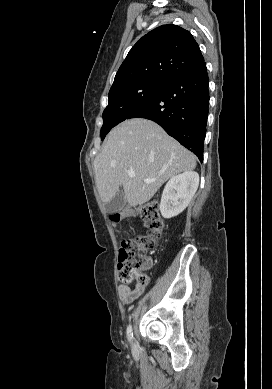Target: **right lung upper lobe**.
I'll return each instance as SVG.
<instances>
[{
  "instance_id": "1",
  "label": "right lung upper lobe",
  "mask_w": 272,
  "mask_h": 389,
  "mask_svg": "<svg viewBox=\"0 0 272 389\" xmlns=\"http://www.w3.org/2000/svg\"><path fill=\"white\" fill-rule=\"evenodd\" d=\"M204 62L191 33L167 24L143 36L129 51L111 89L142 80L168 83Z\"/></svg>"
}]
</instances>
